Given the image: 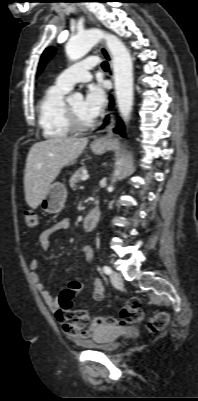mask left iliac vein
Returning a JSON list of instances; mask_svg holds the SVG:
<instances>
[{
  "label": "left iliac vein",
  "mask_w": 198,
  "mask_h": 401,
  "mask_svg": "<svg viewBox=\"0 0 198 401\" xmlns=\"http://www.w3.org/2000/svg\"><path fill=\"white\" fill-rule=\"evenodd\" d=\"M110 280H111L112 284L116 287H120L122 285V277L116 271H112V273L110 275Z\"/></svg>",
  "instance_id": "left-iliac-vein-1"
}]
</instances>
